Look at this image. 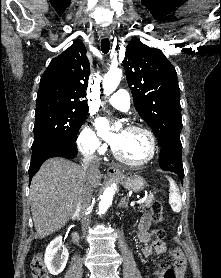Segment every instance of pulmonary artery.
<instances>
[{
  "instance_id": "1",
  "label": "pulmonary artery",
  "mask_w": 221,
  "mask_h": 278,
  "mask_svg": "<svg viewBox=\"0 0 221 278\" xmlns=\"http://www.w3.org/2000/svg\"><path fill=\"white\" fill-rule=\"evenodd\" d=\"M108 102L113 107L121 111H127L130 108L129 94L123 89L118 90L111 97H109Z\"/></svg>"
}]
</instances>
